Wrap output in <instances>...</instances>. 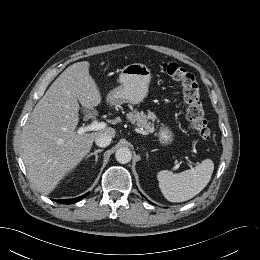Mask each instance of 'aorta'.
I'll return each mask as SVG.
<instances>
[{"instance_id":"762f6f07","label":"aorta","mask_w":260,"mask_h":260,"mask_svg":"<svg viewBox=\"0 0 260 260\" xmlns=\"http://www.w3.org/2000/svg\"><path fill=\"white\" fill-rule=\"evenodd\" d=\"M116 160L121 164H126L131 161L132 153L127 147H120L115 153Z\"/></svg>"}]
</instances>
